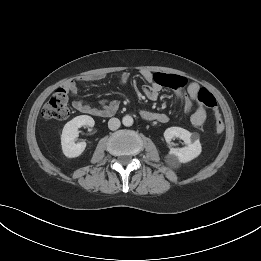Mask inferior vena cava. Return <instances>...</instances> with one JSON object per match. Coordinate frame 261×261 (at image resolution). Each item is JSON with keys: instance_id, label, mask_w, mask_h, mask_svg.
Here are the masks:
<instances>
[{"instance_id": "obj_1", "label": "inferior vena cava", "mask_w": 261, "mask_h": 261, "mask_svg": "<svg viewBox=\"0 0 261 261\" xmlns=\"http://www.w3.org/2000/svg\"><path fill=\"white\" fill-rule=\"evenodd\" d=\"M120 127V120L118 118H111L108 121V128L110 130H116Z\"/></svg>"}]
</instances>
